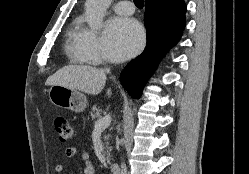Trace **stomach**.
I'll list each match as a JSON object with an SVG mask.
<instances>
[{
    "label": "stomach",
    "instance_id": "obj_1",
    "mask_svg": "<svg viewBox=\"0 0 249 174\" xmlns=\"http://www.w3.org/2000/svg\"><path fill=\"white\" fill-rule=\"evenodd\" d=\"M50 101L58 106L70 109L74 112H82L87 106L86 96L74 89L61 85H52L49 89Z\"/></svg>",
    "mask_w": 249,
    "mask_h": 174
}]
</instances>
